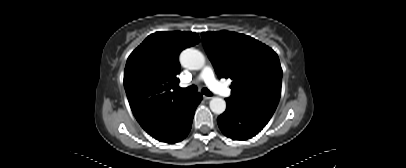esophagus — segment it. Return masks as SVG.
Returning a JSON list of instances; mask_svg holds the SVG:
<instances>
[{
  "label": "esophagus",
  "instance_id": "obj_1",
  "mask_svg": "<svg viewBox=\"0 0 406 168\" xmlns=\"http://www.w3.org/2000/svg\"><path fill=\"white\" fill-rule=\"evenodd\" d=\"M203 98H204L205 100H209V99H211L212 97H211V96L203 95Z\"/></svg>",
  "mask_w": 406,
  "mask_h": 168
}]
</instances>
